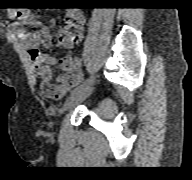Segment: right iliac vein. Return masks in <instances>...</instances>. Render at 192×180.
<instances>
[{
    "mask_svg": "<svg viewBox=\"0 0 192 180\" xmlns=\"http://www.w3.org/2000/svg\"><path fill=\"white\" fill-rule=\"evenodd\" d=\"M92 92L91 84L74 95H71L63 104L62 111H67L74 108L76 105L85 100Z\"/></svg>",
    "mask_w": 192,
    "mask_h": 180,
    "instance_id": "63e3f726",
    "label": "right iliac vein"
}]
</instances>
